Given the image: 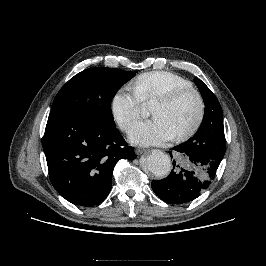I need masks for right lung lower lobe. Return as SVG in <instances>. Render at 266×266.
Wrapping results in <instances>:
<instances>
[{"label":"right lung lower lobe","mask_w":266,"mask_h":266,"mask_svg":"<svg viewBox=\"0 0 266 266\" xmlns=\"http://www.w3.org/2000/svg\"><path fill=\"white\" fill-rule=\"evenodd\" d=\"M43 150L56 191L84 207L99 205L107 197L120 159L137 157L113 124L61 112L49 115Z\"/></svg>","instance_id":"1"}]
</instances>
